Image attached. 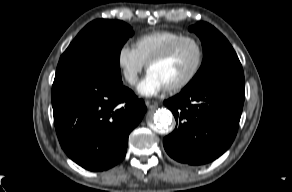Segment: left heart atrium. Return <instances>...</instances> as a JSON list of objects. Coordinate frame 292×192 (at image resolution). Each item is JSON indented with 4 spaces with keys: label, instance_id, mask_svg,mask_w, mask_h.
<instances>
[{
    "label": "left heart atrium",
    "instance_id": "1",
    "mask_svg": "<svg viewBox=\"0 0 292 192\" xmlns=\"http://www.w3.org/2000/svg\"><path fill=\"white\" fill-rule=\"evenodd\" d=\"M137 89L140 94L151 97L164 91L167 87L158 76L148 71L146 76L139 83Z\"/></svg>",
    "mask_w": 292,
    "mask_h": 192
}]
</instances>
